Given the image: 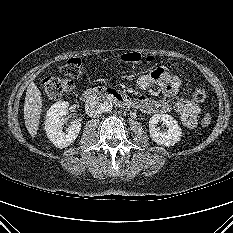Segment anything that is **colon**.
Wrapping results in <instances>:
<instances>
[{"mask_svg":"<svg viewBox=\"0 0 233 233\" xmlns=\"http://www.w3.org/2000/svg\"><path fill=\"white\" fill-rule=\"evenodd\" d=\"M121 60L125 63L136 64L141 61L151 62L152 56L143 57L138 52H128L121 55ZM62 73L66 77H46L41 83L40 87L43 92L52 99H58L69 94L74 87L72 79L79 78L82 75V62L79 58L69 59L62 68ZM206 98L205 91L197 89L192 94V100L194 102H203ZM212 117L209 113L203 115L201 124L203 126L210 125Z\"/></svg>","mask_w":233,"mask_h":233,"instance_id":"5ec220e1","label":"colon"}]
</instances>
